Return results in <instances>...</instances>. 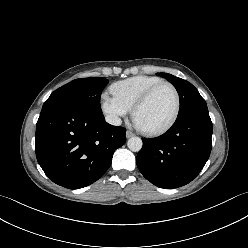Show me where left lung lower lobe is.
Instances as JSON below:
<instances>
[{
	"label": "left lung lower lobe",
	"instance_id": "obj_1",
	"mask_svg": "<svg viewBox=\"0 0 248 248\" xmlns=\"http://www.w3.org/2000/svg\"><path fill=\"white\" fill-rule=\"evenodd\" d=\"M212 122L206 106L177 118L163 135L142 139L136 163L157 187L173 189L197 177L211 152Z\"/></svg>",
	"mask_w": 248,
	"mask_h": 248
}]
</instances>
